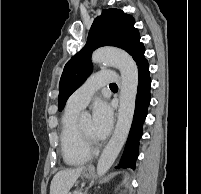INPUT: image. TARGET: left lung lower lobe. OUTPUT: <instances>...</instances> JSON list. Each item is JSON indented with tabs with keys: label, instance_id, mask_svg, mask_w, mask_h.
I'll use <instances>...</instances> for the list:
<instances>
[{
	"label": "left lung lower lobe",
	"instance_id": "0a47b994",
	"mask_svg": "<svg viewBox=\"0 0 201 194\" xmlns=\"http://www.w3.org/2000/svg\"><path fill=\"white\" fill-rule=\"evenodd\" d=\"M144 53V45L139 42L132 54L133 59L138 65L139 83L134 118L121 159V164L119 165V167L123 168H135V160L138 156L139 139L142 136V124L146 118L147 109L150 103L151 80L148 61L144 57Z\"/></svg>",
	"mask_w": 201,
	"mask_h": 194
}]
</instances>
